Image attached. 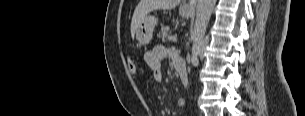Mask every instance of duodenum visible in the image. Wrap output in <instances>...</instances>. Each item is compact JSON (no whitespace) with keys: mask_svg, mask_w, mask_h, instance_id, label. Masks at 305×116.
Wrapping results in <instances>:
<instances>
[{"mask_svg":"<svg viewBox=\"0 0 305 116\" xmlns=\"http://www.w3.org/2000/svg\"><path fill=\"white\" fill-rule=\"evenodd\" d=\"M175 67L178 71L183 87H186L188 85V73L185 61L181 58L177 59L175 61Z\"/></svg>","mask_w":305,"mask_h":116,"instance_id":"duodenum-1","label":"duodenum"}]
</instances>
